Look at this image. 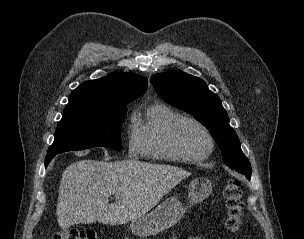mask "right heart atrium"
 <instances>
[{
	"label": "right heart atrium",
	"instance_id": "1",
	"mask_svg": "<svg viewBox=\"0 0 304 239\" xmlns=\"http://www.w3.org/2000/svg\"><path fill=\"white\" fill-rule=\"evenodd\" d=\"M140 136L138 134L137 128L135 126V123H131L128 131H127V146L128 150L132 154H138L140 150Z\"/></svg>",
	"mask_w": 304,
	"mask_h": 239
}]
</instances>
